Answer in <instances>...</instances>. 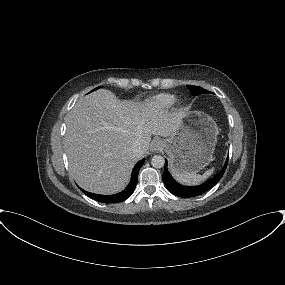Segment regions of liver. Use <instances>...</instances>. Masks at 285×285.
<instances>
[{
  "instance_id": "6515ba94",
  "label": "liver",
  "mask_w": 285,
  "mask_h": 285,
  "mask_svg": "<svg viewBox=\"0 0 285 285\" xmlns=\"http://www.w3.org/2000/svg\"><path fill=\"white\" fill-rule=\"evenodd\" d=\"M184 114L151 103L120 101L106 89L86 95L66 120L65 145L71 176L92 193L122 191L136 162L148 153L151 135H173ZM135 141L142 145L140 156L130 150Z\"/></svg>"
}]
</instances>
